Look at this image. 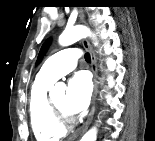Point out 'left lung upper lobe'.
<instances>
[{
    "label": "left lung upper lobe",
    "mask_w": 155,
    "mask_h": 141,
    "mask_svg": "<svg viewBox=\"0 0 155 141\" xmlns=\"http://www.w3.org/2000/svg\"><path fill=\"white\" fill-rule=\"evenodd\" d=\"M49 44H50V39H48V40L43 44V46H42V48H41V50H40V53H39V56H38V59H37L36 64H38V63L40 62V60H41L42 56L45 54V52H46V50H47Z\"/></svg>",
    "instance_id": "obj_1"
}]
</instances>
